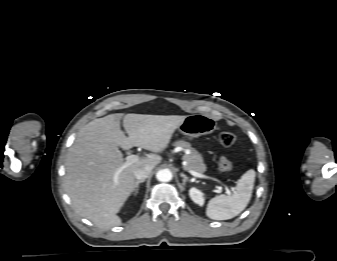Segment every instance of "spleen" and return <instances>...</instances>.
<instances>
[{
	"instance_id": "3e777b00",
	"label": "spleen",
	"mask_w": 337,
	"mask_h": 261,
	"mask_svg": "<svg viewBox=\"0 0 337 261\" xmlns=\"http://www.w3.org/2000/svg\"><path fill=\"white\" fill-rule=\"evenodd\" d=\"M255 176V170H248L239 179L232 195L221 194L212 198L206 215L213 220H227L240 214L251 199Z\"/></svg>"
}]
</instances>
